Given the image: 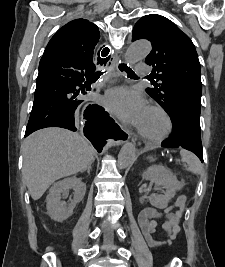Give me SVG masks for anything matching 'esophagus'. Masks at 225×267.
Returning a JSON list of instances; mask_svg holds the SVG:
<instances>
[{
    "label": "esophagus",
    "instance_id": "34e87169",
    "mask_svg": "<svg viewBox=\"0 0 225 267\" xmlns=\"http://www.w3.org/2000/svg\"><path fill=\"white\" fill-rule=\"evenodd\" d=\"M120 63H121V60L119 59V57H114L111 60L110 67L112 69H118V66ZM120 136H121V138L117 141L118 144H123V143L127 142L130 138V134L124 129H121Z\"/></svg>",
    "mask_w": 225,
    "mask_h": 267
}]
</instances>
